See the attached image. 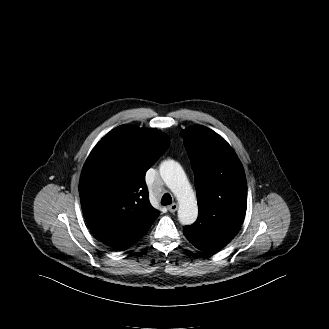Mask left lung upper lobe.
<instances>
[{
  "label": "left lung upper lobe",
  "mask_w": 329,
  "mask_h": 329,
  "mask_svg": "<svg viewBox=\"0 0 329 329\" xmlns=\"http://www.w3.org/2000/svg\"><path fill=\"white\" fill-rule=\"evenodd\" d=\"M195 173L199 215L184 228L191 240H214L222 231L238 232L247 207L243 166L230 145L205 126L181 132Z\"/></svg>",
  "instance_id": "obj_1"
}]
</instances>
